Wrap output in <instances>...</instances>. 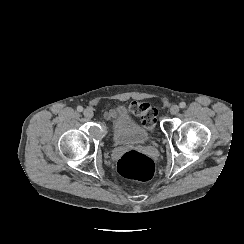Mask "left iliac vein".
I'll use <instances>...</instances> for the list:
<instances>
[{"instance_id":"left-iliac-vein-1","label":"left iliac vein","mask_w":244,"mask_h":244,"mask_svg":"<svg viewBox=\"0 0 244 244\" xmlns=\"http://www.w3.org/2000/svg\"><path fill=\"white\" fill-rule=\"evenodd\" d=\"M170 113L173 114V115H176L179 113V106L177 105H172L170 107Z\"/></svg>"}]
</instances>
